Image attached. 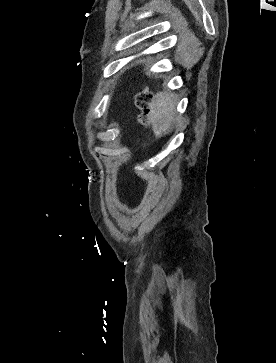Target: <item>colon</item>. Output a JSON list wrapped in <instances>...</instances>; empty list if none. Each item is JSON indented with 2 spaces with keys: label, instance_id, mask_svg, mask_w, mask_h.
I'll list each match as a JSON object with an SVG mask.
<instances>
[{
  "label": "colon",
  "instance_id": "colon-1",
  "mask_svg": "<svg viewBox=\"0 0 276 363\" xmlns=\"http://www.w3.org/2000/svg\"><path fill=\"white\" fill-rule=\"evenodd\" d=\"M152 100V94L147 87L142 88L135 96V104L139 109L138 122L147 127L149 125V107Z\"/></svg>",
  "mask_w": 276,
  "mask_h": 363
}]
</instances>
